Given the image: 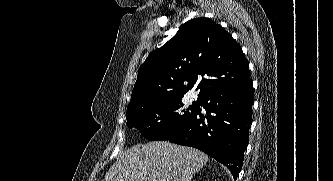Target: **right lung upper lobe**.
I'll return each mask as SVG.
<instances>
[{"mask_svg":"<svg viewBox=\"0 0 333 181\" xmlns=\"http://www.w3.org/2000/svg\"><path fill=\"white\" fill-rule=\"evenodd\" d=\"M249 78L248 62L232 36L209 18H196L141 65L127 111L153 101L182 98L197 81L200 100Z\"/></svg>","mask_w":333,"mask_h":181,"instance_id":"cb5924a9","label":"right lung upper lobe"}]
</instances>
